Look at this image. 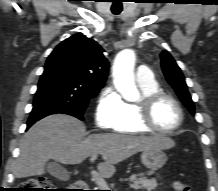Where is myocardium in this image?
<instances>
[{
	"mask_svg": "<svg viewBox=\"0 0 218 191\" xmlns=\"http://www.w3.org/2000/svg\"><path fill=\"white\" fill-rule=\"evenodd\" d=\"M161 99L170 100L177 108L179 112V122L171 129L159 128L153 119V110L156 103ZM139 121L149 131H153L160 134L170 135L177 132L184 123V110L181 103L172 95L157 90L151 93L143 94L140 100L137 102Z\"/></svg>",
	"mask_w": 218,
	"mask_h": 191,
	"instance_id": "1",
	"label": "myocardium"
}]
</instances>
